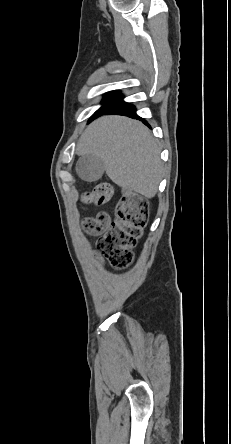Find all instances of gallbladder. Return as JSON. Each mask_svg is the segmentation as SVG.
<instances>
[{"label":"gallbladder","instance_id":"gallbladder-1","mask_svg":"<svg viewBox=\"0 0 231 444\" xmlns=\"http://www.w3.org/2000/svg\"><path fill=\"white\" fill-rule=\"evenodd\" d=\"M76 172L84 181H97L104 173L103 161L94 154L81 156L76 164Z\"/></svg>","mask_w":231,"mask_h":444}]
</instances>
